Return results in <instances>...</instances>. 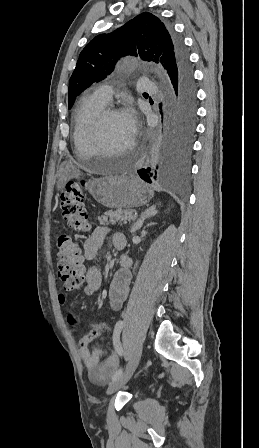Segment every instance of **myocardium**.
Returning <instances> with one entry per match:
<instances>
[{"label":"myocardium","mask_w":259,"mask_h":448,"mask_svg":"<svg viewBox=\"0 0 259 448\" xmlns=\"http://www.w3.org/2000/svg\"><path fill=\"white\" fill-rule=\"evenodd\" d=\"M120 115L119 109L114 105H106L93 119L91 128L87 135V140L90 144V146L94 149L103 150L106 152L111 151V149L107 146V144L104 141L103 136V129L105 121L111 117ZM135 144V140L133 139V142L130 146L133 147ZM75 156H77V163H84L83 158L81 156L80 152L75 153ZM94 171H103L102 169H94Z\"/></svg>","instance_id":"obj_1"}]
</instances>
